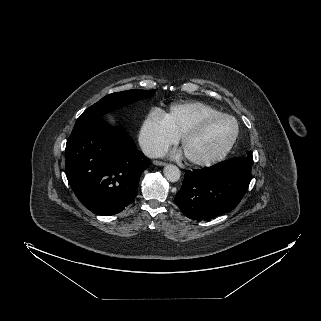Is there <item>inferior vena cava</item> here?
Segmentation results:
<instances>
[{
  "label": "inferior vena cava",
  "instance_id": "1",
  "mask_svg": "<svg viewBox=\"0 0 321 321\" xmlns=\"http://www.w3.org/2000/svg\"><path fill=\"white\" fill-rule=\"evenodd\" d=\"M143 153L149 158H159L166 154L165 150L151 143L141 144Z\"/></svg>",
  "mask_w": 321,
  "mask_h": 321
}]
</instances>
